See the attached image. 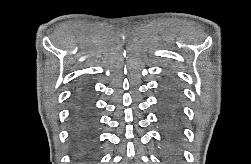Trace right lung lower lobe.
<instances>
[{"mask_svg": "<svg viewBox=\"0 0 251 164\" xmlns=\"http://www.w3.org/2000/svg\"><path fill=\"white\" fill-rule=\"evenodd\" d=\"M94 130V122L88 114V110L84 103L80 101L76 109V121L74 134L79 145V154L83 158L92 156L93 143L92 134Z\"/></svg>", "mask_w": 251, "mask_h": 164, "instance_id": "obj_1", "label": "right lung lower lobe"}]
</instances>
